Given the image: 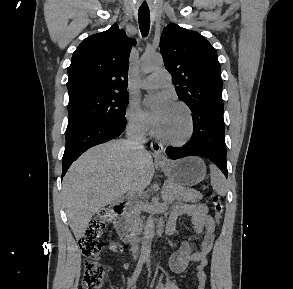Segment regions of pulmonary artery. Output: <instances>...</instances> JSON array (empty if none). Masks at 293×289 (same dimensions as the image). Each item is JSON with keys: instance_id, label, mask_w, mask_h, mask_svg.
<instances>
[{"instance_id": "obj_1", "label": "pulmonary artery", "mask_w": 293, "mask_h": 289, "mask_svg": "<svg viewBox=\"0 0 293 289\" xmlns=\"http://www.w3.org/2000/svg\"><path fill=\"white\" fill-rule=\"evenodd\" d=\"M170 83V75L167 70L159 69L147 76L140 82V87L144 89L158 88Z\"/></svg>"}]
</instances>
